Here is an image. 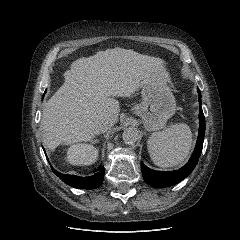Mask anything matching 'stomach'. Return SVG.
I'll use <instances>...</instances> for the list:
<instances>
[{
  "mask_svg": "<svg viewBox=\"0 0 240 240\" xmlns=\"http://www.w3.org/2000/svg\"><path fill=\"white\" fill-rule=\"evenodd\" d=\"M141 94L142 101L135 106L134 113L142 118L147 131L163 128L176 111L169 81L160 77L146 79L141 86Z\"/></svg>",
  "mask_w": 240,
  "mask_h": 240,
  "instance_id": "1",
  "label": "stomach"
}]
</instances>
